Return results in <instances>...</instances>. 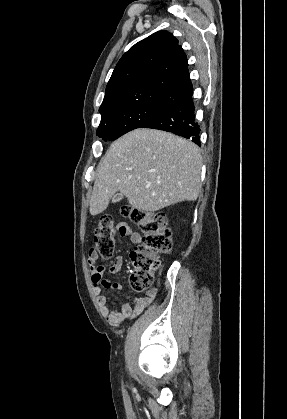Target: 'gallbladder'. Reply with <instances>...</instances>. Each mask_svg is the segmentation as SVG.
<instances>
[{
  "instance_id": "obj_1",
  "label": "gallbladder",
  "mask_w": 287,
  "mask_h": 419,
  "mask_svg": "<svg viewBox=\"0 0 287 419\" xmlns=\"http://www.w3.org/2000/svg\"><path fill=\"white\" fill-rule=\"evenodd\" d=\"M124 195L122 193H118L116 194L113 198H112V203H117L119 201H121L123 199Z\"/></svg>"
}]
</instances>
